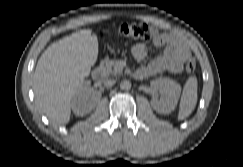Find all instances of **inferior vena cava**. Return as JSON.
Returning a JSON list of instances; mask_svg holds the SVG:
<instances>
[{
  "mask_svg": "<svg viewBox=\"0 0 243 167\" xmlns=\"http://www.w3.org/2000/svg\"><path fill=\"white\" fill-rule=\"evenodd\" d=\"M115 80L114 79H108V80H106L105 82H104V86L105 87H111V86H113L114 84H115Z\"/></svg>",
  "mask_w": 243,
  "mask_h": 167,
  "instance_id": "1",
  "label": "inferior vena cava"
}]
</instances>
